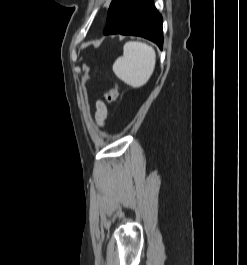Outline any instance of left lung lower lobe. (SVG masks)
<instances>
[{
    "label": "left lung lower lobe",
    "instance_id": "0a47b994",
    "mask_svg": "<svg viewBox=\"0 0 247 265\" xmlns=\"http://www.w3.org/2000/svg\"><path fill=\"white\" fill-rule=\"evenodd\" d=\"M103 33L141 36L162 48V16L153 0H113Z\"/></svg>",
    "mask_w": 247,
    "mask_h": 265
}]
</instances>
